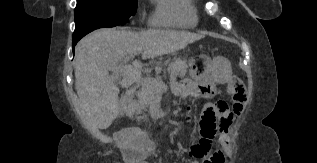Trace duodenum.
I'll list each match as a JSON object with an SVG mask.
<instances>
[{"label":"duodenum","instance_id":"obj_1","mask_svg":"<svg viewBox=\"0 0 317 163\" xmlns=\"http://www.w3.org/2000/svg\"><path fill=\"white\" fill-rule=\"evenodd\" d=\"M131 102H132V93H125L122 98H121V101H120V105H121V111L123 114H125L130 105H131ZM123 145L127 146V147H130L128 146V142H123Z\"/></svg>","mask_w":317,"mask_h":163}]
</instances>
